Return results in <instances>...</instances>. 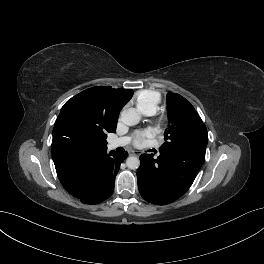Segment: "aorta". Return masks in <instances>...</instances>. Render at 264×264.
<instances>
[{
    "instance_id": "762f6f07",
    "label": "aorta",
    "mask_w": 264,
    "mask_h": 264,
    "mask_svg": "<svg viewBox=\"0 0 264 264\" xmlns=\"http://www.w3.org/2000/svg\"><path fill=\"white\" fill-rule=\"evenodd\" d=\"M121 121L128 126L136 125L140 121V114L134 108L125 109L121 113ZM126 165L129 169H138L140 160L134 156L128 157Z\"/></svg>"
}]
</instances>
